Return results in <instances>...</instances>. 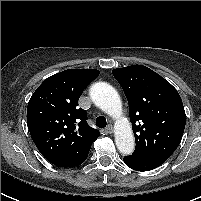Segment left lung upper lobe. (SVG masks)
I'll return each instance as SVG.
<instances>
[{
  "instance_id": "obj_1",
  "label": "left lung upper lobe",
  "mask_w": 201,
  "mask_h": 201,
  "mask_svg": "<svg viewBox=\"0 0 201 201\" xmlns=\"http://www.w3.org/2000/svg\"><path fill=\"white\" fill-rule=\"evenodd\" d=\"M112 73L122 86L136 148L132 157L168 159L178 147L186 115L177 90L156 72L142 65L117 68Z\"/></svg>"
}]
</instances>
